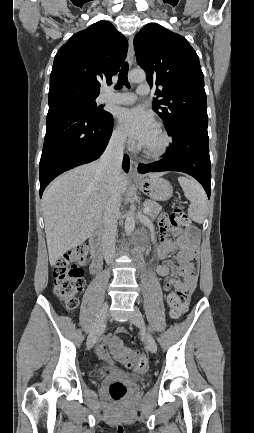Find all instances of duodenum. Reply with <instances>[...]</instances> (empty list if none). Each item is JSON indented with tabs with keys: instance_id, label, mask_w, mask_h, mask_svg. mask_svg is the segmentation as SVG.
<instances>
[{
	"instance_id": "duodenum-1",
	"label": "duodenum",
	"mask_w": 254,
	"mask_h": 433,
	"mask_svg": "<svg viewBox=\"0 0 254 433\" xmlns=\"http://www.w3.org/2000/svg\"><path fill=\"white\" fill-rule=\"evenodd\" d=\"M89 243L92 254L91 272L96 274L99 271L102 262L101 237L99 233L93 234L89 239Z\"/></svg>"
}]
</instances>
